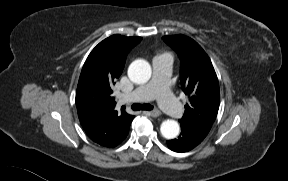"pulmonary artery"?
Listing matches in <instances>:
<instances>
[{"mask_svg": "<svg viewBox=\"0 0 288 181\" xmlns=\"http://www.w3.org/2000/svg\"><path fill=\"white\" fill-rule=\"evenodd\" d=\"M153 78L150 83L127 95L130 101H148L157 98L160 106L172 117L180 118L183 107L176 100L169 88V78L172 70V60L167 55H161L153 60Z\"/></svg>", "mask_w": 288, "mask_h": 181, "instance_id": "1", "label": "pulmonary artery"}]
</instances>
